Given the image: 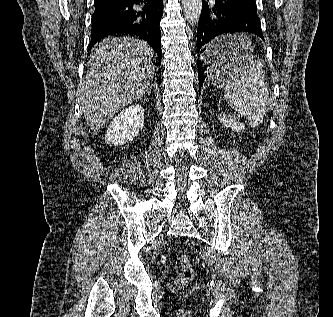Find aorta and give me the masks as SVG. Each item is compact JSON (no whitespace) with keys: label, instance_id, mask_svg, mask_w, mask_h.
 I'll list each match as a JSON object with an SVG mask.
<instances>
[{"label":"aorta","instance_id":"1","mask_svg":"<svg viewBox=\"0 0 333 317\" xmlns=\"http://www.w3.org/2000/svg\"><path fill=\"white\" fill-rule=\"evenodd\" d=\"M182 4L186 21L192 26L196 25L201 15L202 0H182Z\"/></svg>","mask_w":333,"mask_h":317}]
</instances>
